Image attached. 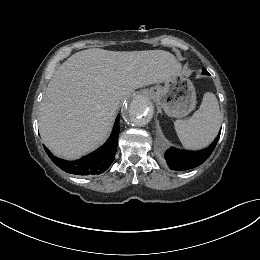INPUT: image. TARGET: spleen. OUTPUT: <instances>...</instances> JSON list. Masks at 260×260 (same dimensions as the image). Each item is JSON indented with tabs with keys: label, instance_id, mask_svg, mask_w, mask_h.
I'll return each mask as SVG.
<instances>
[{
	"label": "spleen",
	"instance_id": "spleen-1",
	"mask_svg": "<svg viewBox=\"0 0 260 260\" xmlns=\"http://www.w3.org/2000/svg\"><path fill=\"white\" fill-rule=\"evenodd\" d=\"M222 115L216 96L206 92L199 109L187 120H176L174 127L185 148L201 149L218 134Z\"/></svg>",
	"mask_w": 260,
	"mask_h": 260
}]
</instances>
